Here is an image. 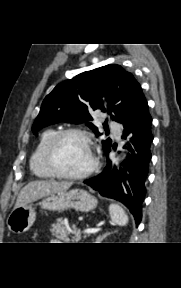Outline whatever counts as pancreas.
<instances>
[{"instance_id":"obj_1","label":"pancreas","mask_w":181,"mask_h":288,"mask_svg":"<svg viewBox=\"0 0 181 288\" xmlns=\"http://www.w3.org/2000/svg\"><path fill=\"white\" fill-rule=\"evenodd\" d=\"M50 231L52 236H55L66 243H68L69 241H72V243H78V241H80L82 238L80 235V231L77 230L75 226L72 227L71 231H68L62 218H58L56 220V223H53L51 225ZM70 233L75 235L74 237H72V239L68 237ZM85 237L86 235L84 236V238Z\"/></svg>"}]
</instances>
